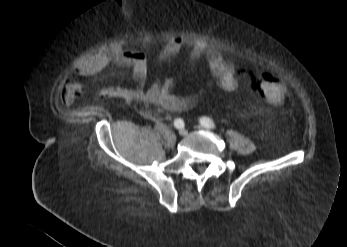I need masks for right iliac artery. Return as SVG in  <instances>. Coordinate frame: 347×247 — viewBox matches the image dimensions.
Instances as JSON below:
<instances>
[{"mask_svg": "<svg viewBox=\"0 0 347 247\" xmlns=\"http://www.w3.org/2000/svg\"><path fill=\"white\" fill-rule=\"evenodd\" d=\"M174 126L176 127V128H183L184 127V121L182 120V119H176L175 121H174Z\"/></svg>", "mask_w": 347, "mask_h": 247, "instance_id": "82829eb1", "label": "right iliac artery"}]
</instances>
